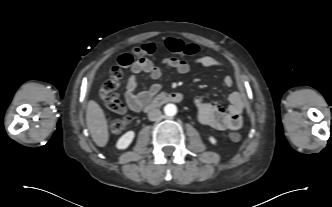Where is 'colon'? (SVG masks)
Here are the masks:
<instances>
[{
    "label": "colon",
    "instance_id": "obj_1",
    "mask_svg": "<svg viewBox=\"0 0 332 207\" xmlns=\"http://www.w3.org/2000/svg\"><path fill=\"white\" fill-rule=\"evenodd\" d=\"M164 44L171 53L184 57H194L199 52V48L195 44H185L177 38H167ZM156 48L157 44L154 42L143 44L134 48L132 53L122 54L118 58L117 64L110 69L109 77L99 89L100 99L110 110L118 114H124V105L116 93L123 76V69L131 67L136 60L141 59L143 56L154 53ZM128 124L129 118L127 117L114 119L110 122V129L113 133H120ZM228 138L232 142H238L241 136L237 132H230Z\"/></svg>",
    "mask_w": 332,
    "mask_h": 207
}]
</instances>
